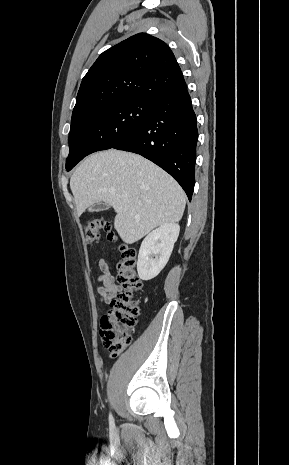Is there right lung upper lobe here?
<instances>
[{
    "label": "right lung upper lobe",
    "mask_w": 289,
    "mask_h": 465,
    "mask_svg": "<svg viewBox=\"0 0 289 465\" xmlns=\"http://www.w3.org/2000/svg\"><path fill=\"white\" fill-rule=\"evenodd\" d=\"M186 88L171 49L139 33L103 52L82 79L71 127L93 109L127 100L156 99Z\"/></svg>",
    "instance_id": "cb5924a9"
}]
</instances>
